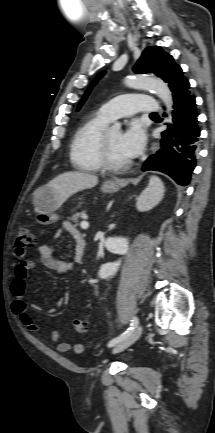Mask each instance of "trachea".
I'll use <instances>...</instances> for the list:
<instances>
[{"mask_svg": "<svg viewBox=\"0 0 215 433\" xmlns=\"http://www.w3.org/2000/svg\"><path fill=\"white\" fill-rule=\"evenodd\" d=\"M156 115H157V113H152V114H151V116H156Z\"/></svg>", "mask_w": 215, "mask_h": 433, "instance_id": "trachea-1", "label": "trachea"}]
</instances>
